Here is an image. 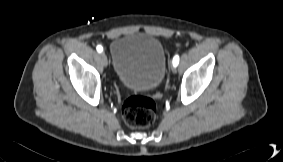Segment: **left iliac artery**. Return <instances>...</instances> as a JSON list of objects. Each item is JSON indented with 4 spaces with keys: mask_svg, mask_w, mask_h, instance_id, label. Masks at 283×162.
<instances>
[{
    "mask_svg": "<svg viewBox=\"0 0 283 162\" xmlns=\"http://www.w3.org/2000/svg\"><path fill=\"white\" fill-rule=\"evenodd\" d=\"M179 63V56L178 55H175L174 58H173V66H177Z\"/></svg>",
    "mask_w": 283,
    "mask_h": 162,
    "instance_id": "44dca946",
    "label": "left iliac artery"
}]
</instances>
